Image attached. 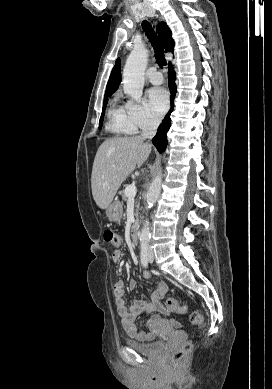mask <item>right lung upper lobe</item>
<instances>
[{
    "instance_id": "right-lung-upper-lobe-1",
    "label": "right lung upper lobe",
    "mask_w": 272,
    "mask_h": 389,
    "mask_svg": "<svg viewBox=\"0 0 272 389\" xmlns=\"http://www.w3.org/2000/svg\"><path fill=\"white\" fill-rule=\"evenodd\" d=\"M157 33L159 35V39H160L161 44L165 48V51L166 52H173L174 41L171 38V31L168 28V26L166 25V23L161 22L158 25ZM120 68H121L120 59H117L115 66L112 69L108 83H107V89L105 92V96L110 95L117 90V88L121 82Z\"/></svg>"
}]
</instances>
